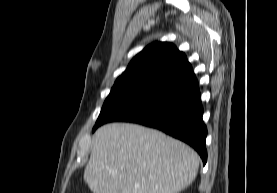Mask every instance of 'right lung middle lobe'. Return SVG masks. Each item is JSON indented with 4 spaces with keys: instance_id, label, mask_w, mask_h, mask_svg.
Returning a JSON list of instances; mask_svg holds the SVG:
<instances>
[{
    "instance_id": "dd1d6c3e",
    "label": "right lung middle lobe",
    "mask_w": 277,
    "mask_h": 193,
    "mask_svg": "<svg viewBox=\"0 0 277 193\" xmlns=\"http://www.w3.org/2000/svg\"><path fill=\"white\" fill-rule=\"evenodd\" d=\"M147 94L149 93L144 91L112 89L103 104L93 131L110 120L114 115L133 105Z\"/></svg>"
}]
</instances>
